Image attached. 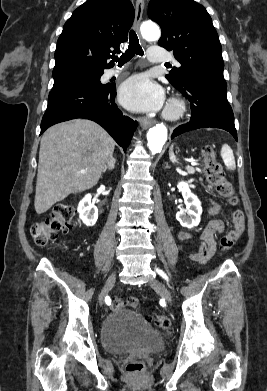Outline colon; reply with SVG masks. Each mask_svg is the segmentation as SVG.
Instances as JSON below:
<instances>
[{"label": "colon", "instance_id": "1", "mask_svg": "<svg viewBox=\"0 0 267 391\" xmlns=\"http://www.w3.org/2000/svg\"><path fill=\"white\" fill-rule=\"evenodd\" d=\"M205 162V176L208 183L223 198L228 199L230 204L235 205L238 202L233 185L226 180L222 167L216 160V154L212 146H206L203 149ZM76 208L70 203H59L55 205L46 218L36 221L31 228V234L34 241L39 246H44L52 240H55L59 232H68L75 227L74 217ZM232 229L228 231L220 240V249L222 251L230 250L245 230V215L242 210H235L232 214ZM128 306L132 309H138L140 301L135 296L126 298L118 297L112 303V308L117 310ZM157 327L164 331L171 328V320L164 314L154 313L148 318ZM145 369V362L142 357H133L126 365V370L131 374H140Z\"/></svg>", "mask_w": 267, "mask_h": 391}]
</instances>
